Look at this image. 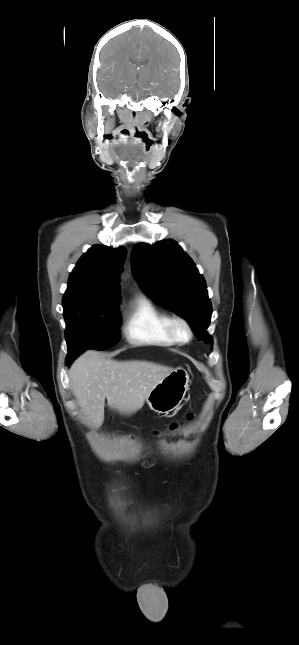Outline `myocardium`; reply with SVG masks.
Segmentation results:
<instances>
[{
	"instance_id": "obj_1",
	"label": "myocardium",
	"mask_w": 299,
	"mask_h": 645,
	"mask_svg": "<svg viewBox=\"0 0 299 645\" xmlns=\"http://www.w3.org/2000/svg\"><path fill=\"white\" fill-rule=\"evenodd\" d=\"M179 328L185 331V336H181ZM166 332L169 337L178 344H185L192 340L193 329L187 319L180 315L169 316L166 323Z\"/></svg>"
}]
</instances>
